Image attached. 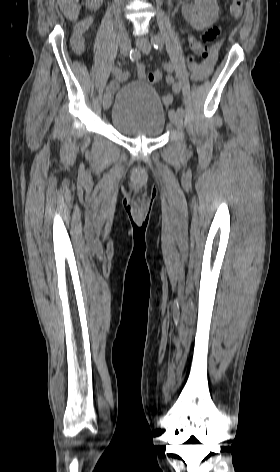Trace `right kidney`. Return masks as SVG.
<instances>
[{
  "label": "right kidney",
  "mask_w": 280,
  "mask_h": 472,
  "mask_svg": "<svg viewBox=\"0 0 280 472\" xmlns=\"http://www.w3.org/2000/svg\"><path fill=\"white\" fill-rule=\"evenodd\" d=\"M102 2L103 0H86V6L92 11H96L99 9Z\"/></svg>",
  "instance_id": "ca27d5eb"
}]
</instances>
